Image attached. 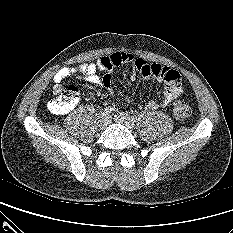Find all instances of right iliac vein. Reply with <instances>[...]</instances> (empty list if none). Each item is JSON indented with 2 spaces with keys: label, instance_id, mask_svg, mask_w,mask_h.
<instances>
[{
  "label": "right iliac vein",
  "instance_id": "1",
  "mask_svg": "<svg viewBox=\"0 0 233 233\" xmlns=\"http://www.w3.org/2000/svg\"><path fill=\"white\" fill-rule=\"evenodd\" d=\"M109 122H110V117H109V115H107V114H102L101 115V117H100V120H99V127L101 128V129H104V128H106V126L109 124Z\"/></svg>",
  "mask_w": 233,
  "mask_h": 233
}]
</instances>
